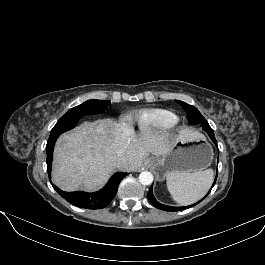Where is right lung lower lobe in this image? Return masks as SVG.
I'll use <instances>...</instances> for the list:
<instances>
[{
    "label": "right lung lower lobe",
    "instance_id": "obj_1",
    "mask_svg": "<svg viewBox=\"0 0 265 265\" xmlns=\"http://www.w3.org/2000/svg\"><path fill=\"white\" fill-rule=\"evenodd\" d=\"M79 119L80 118L75 117V118H70L66 120L65 122L57 123L51 130V133L47 141V145H46V152H47L46 163H47V171H48L49 178L51 174L53 150H54V145H55L57 138L63 132L74 128ZM126 175L127 173H122V172L115 173L104 188L94 193H86V192H81V191L65 192L59 189L58 187H56L54 184L52 183L51 184L53 188L57 191V193L61 197H63L65 200H67L69 203L77 207H81V208L101 209L107 206L112 201V199L116 195V192L118 190V186L121 180Z\"/></svg>",
    "mask_w": 265,
    "mask_h": 265
}]
</instances>
